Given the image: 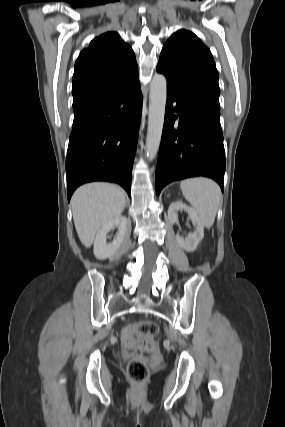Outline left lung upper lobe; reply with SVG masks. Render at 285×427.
Returning <instances> with one entry per match:
<instances>
[{"label": "left lung upper lobe", "instance_id": "5c2ea615", "mask_svg": "<svg viewBox=\"0 0 285 427\" xmlns=\"http://www.w3.org/2000/svg\"><path fill=\"white\" fill-rule=\"evenodd\" d=\"M158 65L219 98L218 71L210 50L192 32L179 30L165 43Z\"/></svg>", "mask_w": 285, "mask_h": 427}]
</instances>
